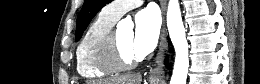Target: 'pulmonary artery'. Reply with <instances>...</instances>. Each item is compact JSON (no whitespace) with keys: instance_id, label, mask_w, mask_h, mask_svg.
I'll return each mask as SVG.
<instances>
[{"instance_id":"e3ab8cb5","label":"pulmonary artery","mask_w":260,"mask_h":84,"mask_svg":"<svg viewBox=\"0 0 260 84\" xmlns=\"http://www.w3.org/2000/svg\"><path fill=\"white\" fill-rule=\"evenodd\" d=\"M142 1L139 0H119L109 3L103 10L105 14L112 20L117 21L127 11L140 5Z\"/></svg>"}]
</instances>
